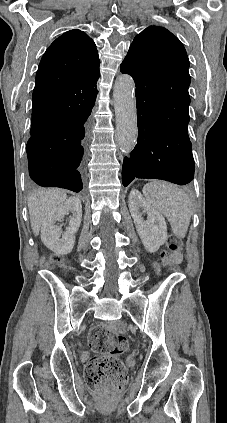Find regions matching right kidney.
<instances>
[{"label":"right kidney","instance_id":"obj_1","mask_svg":"<svg viewBox=\"0 0 227 423\" xmlns=\"http://www.w3.org/2000/svg\"><path fill=\"white\" fill-rule=\"evenodd\" d=\"M69 211L72 215L68 227L64 233H60V227L56 223L61 221ZM81 219L82 204L79 198H69L64 204L53 208L42 221L41 239L44 245L59 255L70 253L74 247L75 233L80 227Z\"/></svg>","mask_w":227,"mask_h":423}]
</instances>
